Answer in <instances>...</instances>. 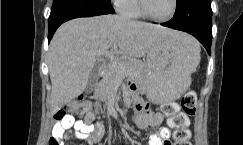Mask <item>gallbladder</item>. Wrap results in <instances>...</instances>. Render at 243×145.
<instances>
[{
  "label": "gallbladder",
  "mask_w": 243,
  "mask_h": 145,
  "mask_svg": "<svg viewBox=\"0 0 243 145\" xmlns=\"http://www.w3.org/2000/svg\"><path fill=\"white\" fill-rule=\"evenodd\" d=\"M98 70H99V65L95 64L94 68L92 69V71L90 72L89 77H88V81H87V85H86L87 93H90L94 89V87L98 81V78H99Z\"/></svg>",
  "instance_id": "obj_1"
}]
</instances>
